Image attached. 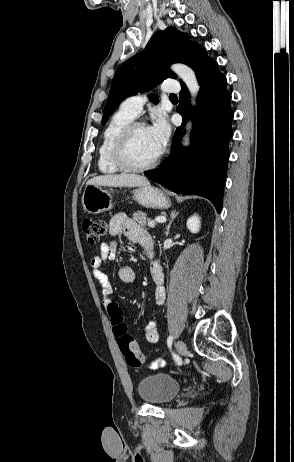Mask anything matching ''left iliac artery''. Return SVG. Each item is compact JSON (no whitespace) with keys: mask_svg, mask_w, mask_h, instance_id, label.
<instances>
[{"mask_svg":"<svg viewBox=\"0 0 294 462\" xmlns=\"http://www.w3.org/2000/svg\"><path fill=\"white\" fill-rule=\"evenodd\" d=\"M172 341H173V336H169L167 339V344H168L167 351L169 352V355L172 356V360H176V365H181L183 360L182 358L179 357L178 353H176V351L172 349L173 348Z\"/></svg>","mask_w":294,"mask_h":462,"instance_id":"1","label":"left iliac artery"}]
</instances>
